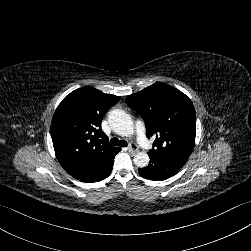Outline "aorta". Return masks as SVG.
<instances>
[{"instance_id": "762f6f07", "label": "aorta", "mask_w": 251, "mask_h": 251, "mask_svg": "<svg viewBox=\"0 0 251 251\" xmlns=\"http://www.w3.org/2000/svg\"><path fill=\"white\" fill-rule=\"evenodd\" d=\"M108 122L113 132L119 136L128 137L135 134V125L126 112L114 110L108 116ZM134 164L138 167H146L150 161L146 151H139L134 154Z\"/></svg>"}]
</instances>
